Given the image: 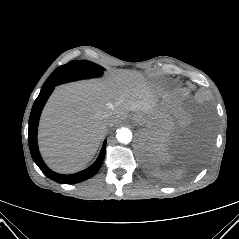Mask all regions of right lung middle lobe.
Wrapping results in <instances>:
<instances>
[{"label": "right lung middle lobe", "instance_id": "right-lung-middle-lobe-1", "mask_svg": "<svg viewBox=\"0 0 239 239\" xmlns=\"http://www.w3.org/2000/svg\"><path fill=\"white\" fill-rule=\"evenodd\" d=\"M103 71V67L87 60L71 61L56 68L43 84L41 91L70 81L100 77Z\"/></svg>", "mask_w": 239, "mask_h": 239}]
</instances>
